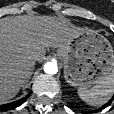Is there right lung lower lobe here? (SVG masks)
Segmentation results:
<instances>
[{
	"instance_id": "98d812e1",
	"label": "right lung lower lobe",
	"mask_w": 114,
	"mask_h": 114,
	"mask_svg": "<svg viewBox=\"0 0 114 114\" xmlns=\"http://www.w3.org/2000/svg\"><path fill=\"white\" fill-rule=\"evenodd\" d=\"M31 94V93H30ZM28 94L26 97L24 98H21L20 100L18 101H15V102H12V103H9V104H5V105H1L0 106V110H9V109H13V108H16L18 106H20L23 102H25L27 100V97L30 95Z\"/></svg>"
}]
</instances>
